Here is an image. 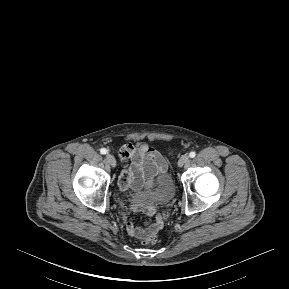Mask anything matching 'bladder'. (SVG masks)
Listing matches in <instances>:
<instances>
[{
	"label": "bladder",
	"mask_w": 289,
	"mask_h": 289,
	"mask_svg": "<svg viewBox=\"0 0 289 289\" xmlns=\"http://www.w3.org/2000/svg\"><path fill=\"white\" fill-rule=\"evenodd\" d=\"M175 196V182L169 172L159 174L155 180L152 190L142 196L134 197L136 202H146L155 199L158 203L166 205L172 201Z\"/></svg>",
	"instance_id": "bladder-1"
}]
</instances>
